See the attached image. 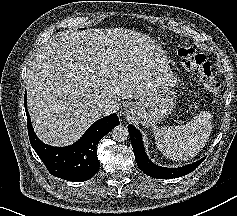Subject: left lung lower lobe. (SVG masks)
Masks as SVG:
<instances>
[{
  "mask_svg": "<svg viewBox=\"0 0 237 216\" xmlns=\"http://www.w3.org/2000/svg\"><path fill=\"white\" fill-rule=\"evenodd\" d=\"M128 131L130 134L132 148L135 155V161L137 162L138 167L145 174L153 178L172 179V178H177V177L187 175L190 172H192L194 169H196L205 159L203 158L197 162L186 165L184 167H178V168L160 167L154 164L152 161H150L149 158L147 157L144 147H143L141 134L138 132V130H136L134 126L129 125Z\"/></svg>",
  "mask_w": 237,
  "mask_h": 216,
  "instance_id": "0a47b994",
  "label": "left lung lower lobe"
}]
</instances>
